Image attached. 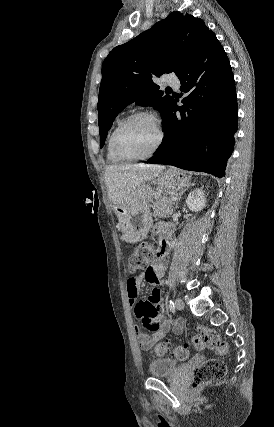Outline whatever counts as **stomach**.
<instances>
[{"label": "stomach", "instance_id": "obj_1", "mask_svg": "<svg viewBox=\"0 0 274 427\" xmlns=\"http://www.w3.org/2000/svg\"><path fill=\"white\" fill-rule=\"evenodd\" d=\"M154 182L164 192H180L190 186V176H187L186 172L170 166L168 170L157 174ZM133 194L132 202L114 206L120 229L126 241H130V243L144 239L152 227L153 217L149 202H152L156 192H153L150 184L143 182L141 186L135 188Z\"/></svg>", "mask_w": 274, "mask_h": 427}]
</instances>
